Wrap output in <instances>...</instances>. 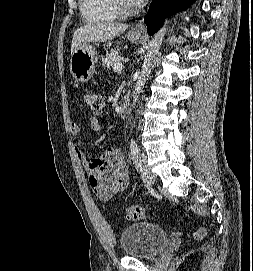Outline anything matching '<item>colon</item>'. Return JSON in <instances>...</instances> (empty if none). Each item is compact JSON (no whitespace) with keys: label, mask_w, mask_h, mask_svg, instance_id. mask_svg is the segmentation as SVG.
<instances>
[{"label":"colon","mask_w":253,"mask_h":271,"mask_svg":"<svg viewBox=\"0 0 253 271\" xmlns=\"http://www.w3.org/2000/svg\"><path fill=\"white\" fill-rule=\"evenodd\" d=\"M84 98L86 104L94 114L101 112L103 99L98 93L92 91L86 92ZM125 215L129 221H139L143 218L144 212L142 207L138 205H129L125 210ZM205 234L206 230L204 228H199L193 233V237L195 239H202Z\"/></svg>","instance_id":"5ec220e1"}]
</instances>
